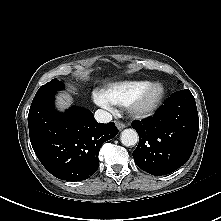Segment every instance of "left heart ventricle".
<instances>
[{
	"label": "left heart ventricle",
	"instance_id": "b2bd125f",
	"mask_svg": "<svg viewBox=\"0 0 221 221\" xmlns=\"http://www.w3.org/2000/svg\"><path fill=\"white\" fill-rule=\"evenodd\" d=\"M154 96V92L152 91V92H149L147 95H146V100H150V99H152V97Z\"/></svg>",
	"mask_w": 221,
	"mask_h": 221
}]
</instances>
